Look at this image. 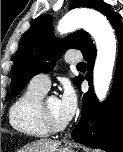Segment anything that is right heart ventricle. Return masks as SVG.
I'll list each match as a JSON object with an SVG mask.
<instances>
[{"label": "right heart ventricle", "instance_id": "1", "mask_svg": "<svg viewBox=\"0 0 123 152\" xmlns=\"http://www.w3.org/2000/svg\"><path fill=\"white\" fill-rule=\"evenodd\" d=\"M46 91L31 85L13 103L9 111V121L17 132L32 138L48 136L40 116V102Z\"/></svg>", "mask_w": 123, "mask_h": 152}]
</instances>
